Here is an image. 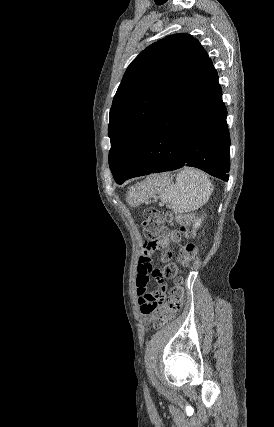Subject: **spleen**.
<instances>
[{"label":"spleen","mask_w":274,"mask_h":427,"mask_svg":"<svg viewBox=\"0 0 274 427\" xmlns=\"http://www.w3.org/2000/svg\"><path fill=\"white\" fill-rule=\"evenodd\" d=\"M140 188H144L145 192L151 190V196L160 194L159 198L163 204H167V208H170L174 214H186V212L198 210L208 202L212 194V184L207 174L195 168H183L177 174L176 184H170V186L158 178L156 180L147 178L136 188H131L129 198H133V204H139L145 196L142 192H137Z\"/></svg>","instance_id":"obj_1"}]
</instances>
